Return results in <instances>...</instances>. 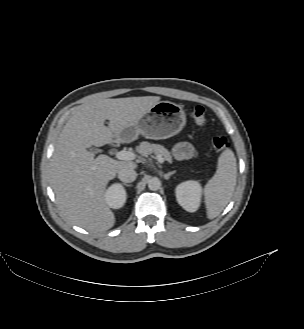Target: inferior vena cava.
<instances>
[{
  "label": "inferior vena cava",
  "mask_w": 304,
  "mask_h": 329,
  "mask_svg": "<svg viewBox=\"0 0 304 329\" xmlns=\"http://www.w3.org/2000/svg\"><path fill=\"white\" fill-rule=\"evenodd\" d=\"M137 177V173L134 169L123 168L118 171V178L125 183L133 182Z\"/></svg>",
  "instance_id": "inferior-vena-cava-1"
}]
</instances>
